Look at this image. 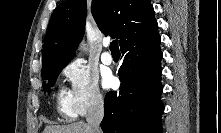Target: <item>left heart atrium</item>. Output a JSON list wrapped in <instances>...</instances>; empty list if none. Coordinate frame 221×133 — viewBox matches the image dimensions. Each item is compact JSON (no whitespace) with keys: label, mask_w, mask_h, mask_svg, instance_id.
<instances>
[{"label":"left heart atrium","mask_w":221,"mask_h":133,"mask_svg":"<svg viewBox=\"0 0 221 133\" xmlns=\"http://www.w3.org/2000/svg\"><path fill=\"white\" fill-rule=\"evenodd\" d=\"M113 83H114V79L111 75H106L104 77V86L105 87H107V88L111 87L113 85Z\"/></svg>","instance_id":"left-heart-atrium-1"}]
</instances>
